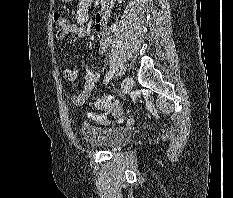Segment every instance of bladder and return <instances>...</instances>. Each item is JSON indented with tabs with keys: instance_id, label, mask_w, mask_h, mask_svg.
I'll return each instance as SVG.
<instances>
[{
	"instance_id": "bladder-1",
	"label": "bladder",
	"mask_w": 233,
	"mask_h": 198,
	"mask_svg": "<svg viewBox=\"0 0 233 198\" xmlns=\"http://www.w3.org/2000/svg\"><path fill=\"white\" fill-rule=\"evenodd\" d=\"M83 133L92 145L111 151L125 146L132 139V132L126 127L98 128L84 125Z\"/></svg>"
}]
</instances>
